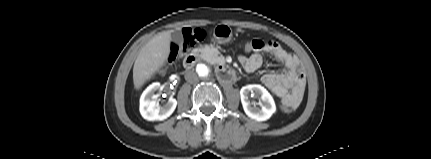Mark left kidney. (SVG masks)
Returning a JSON list of instances; mask_svg holds the SVG:
<instances>
[{"instance_id": "left-kidney-1", "label": "left kidney", "mask_w": 431, "mask_h": 159, "mask_svg": "<svg viewBox=\"0 0 431 159\" xmlns=\"http://www.w3.org/2000/svg\"><path fill=\"white\" fill-rule=\"evenodd\" d=\"M250 93L259 98L258 104L260 107L250 103ZM240 98L246 115L256 121H266L276 112V105L273 97L259 84H250L242 87L240 90Z\"/></svg>"}]
</instances>
